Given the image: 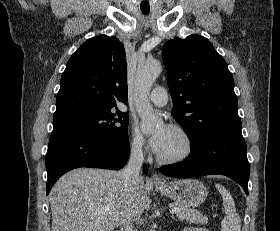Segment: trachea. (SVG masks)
I'll return each instance as SVG.
<instances>
[{
  "mask_svg": "<svg viewBox=\"0 0 280 231\" xmlns=\"http://www.w3.org/2000/svg\"><path fill=\"white\" fill-rule=\"evenodd\" d=\"M142 13H143L144 15H148L149 12H146V11H143V10H142Z\"/></svg>",
  "mask_w": 280,
  "mask_h": 231,
  "instance_id": "3493384b",
  "label": "trachea"
}]
</instances>
